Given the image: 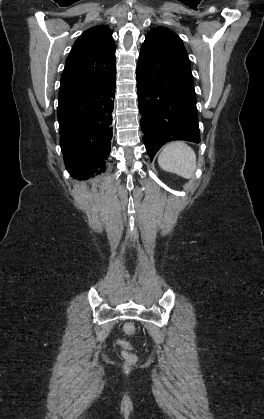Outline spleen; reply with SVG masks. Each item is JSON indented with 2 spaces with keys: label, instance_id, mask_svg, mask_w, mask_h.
<instances>
[{
  "label": "spleen",
  "instance_id": "1",
  "mask_svg": "<svg viewBox=\"0 0 264 419\" xmlns=\"http://www.w3.org/2000/svg\"><path fill=\"white\" fill-rule=\"evenodd\" d=\"M158 164L167 172L190 179L196 169V154L184 142H171L164 146L158 157Z\"/></svg>",
  "mask_w": 264,
  "mask_h": 419
}]
</instances>
